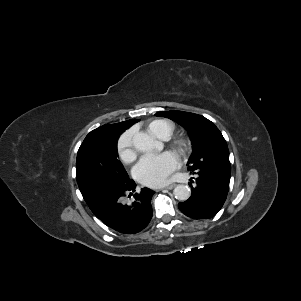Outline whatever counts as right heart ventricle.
Here are the masks:
<instances>
[{"instance_id": "e07e8e85", "label": "right heart ventricle", "mask_w": 301, "mask_h": 301, "mask_svg": "<svg viewBox=\"0 0 301 301\" xmlns=\"http://www.w3.org/2000/svg\"><path fill=\"white\" fill-rule=\"evenodd\" d=\"M147 130L157 138H169L174 130V125L168 120H154L147 126Z\"/></svg>"}]
</instances>
